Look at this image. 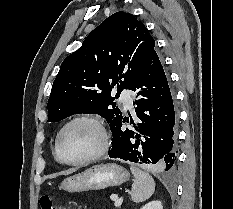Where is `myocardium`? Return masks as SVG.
<instances>
[{"label": "myocardium", "instance_id": "obj_1", "mask_svg": "<svg viewBox=\"0 0 233 209\" xmlns=\"http://www.w3.org/2000/svg\"><path fill=\"white\" fill-rule=\"evenodd\" d=\"M77 122H89L95 125L100 133V137H101L100 145L95 152H93L92 154L86 157H83L81 159L74 160V161H67L63 159L60 155V151H59L60 140L62 138V135L66 131V129L72 124L77 123ZM108 147H109V134H108V131L106 129V126L103 120L95 114L86 113V114H80V115H77L71 118L62 126V128L59 130L56 136V139H55L54 155L57 161L60 162L61 164L68 165V166H77V165H83V164L92 162L100 158L106 153Z\"/></svg>", "mask_w": 233, "mask_h": 209}]
</instances>
